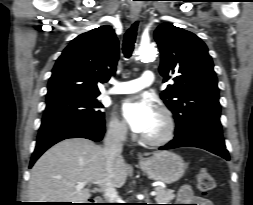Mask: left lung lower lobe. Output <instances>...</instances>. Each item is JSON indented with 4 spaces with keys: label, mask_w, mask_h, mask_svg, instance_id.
<instances>
[{
    "label": "left lung lower lobe",
    "mask_w": 253,
    "mask_h": 205,
    "mask_svg": "<svg viewBox=\"0 0 253 205\" xmlns=\"http://www.w3.org/2000/svg\"><path fill=\"white\" fill-rule=\"evenodd\" d=\"M178 147H197L210 151L216 155L229 160L222 136V126L220 122L203 120L184 135L175 133V137L167 145L160 147V150L174 149Z\"/></svg>",
    "instance_id": "1"
}]
</instances>
